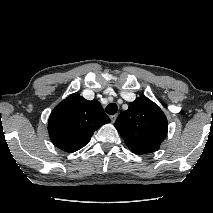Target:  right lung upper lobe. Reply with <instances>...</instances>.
Returning a JSON list of instances; mask_svg holds the SVG:
<instances>
[{
	"label": "right lung upper lobe",
	"instance_id": "1",
	"mask_svg": "<svg viewBox=\"0 0 213 213\" xmlns=\"http://www.w3.org/2000/svg\"><path fill=\"white\" fill-rule=\"evenodd\" d=\"M109 122L97 100L88 101L74 93L53 109L48 131L56 147L71 153L88 144L93 133Z\"/></svg>",
	"mask_w": 213,
	"mask_h": 213
}]
</instances>
